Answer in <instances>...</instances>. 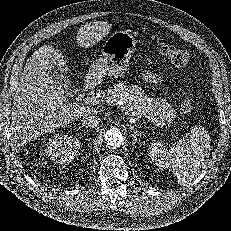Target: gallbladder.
Listing matches in <instances>:
<instances>
[{
    "mask_svg": "<svg viewBox=\"0 0 231 231\" xmlns=\"http://www.w3.org/2000/svg\"><path fill=\"white\" fill-rule=\"evenodd\" d=\"M54 83L67 95H72L75 92L74 86L71 81L64 76L53 64L50 65L48 70Z\"/></svg>",
    "mask_w": 231,
    "mask_h": 231,
    "instance_id": "obj_1",
    "label": "gallbladder"
}]
</instances>
